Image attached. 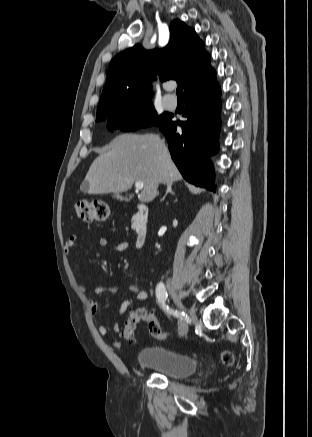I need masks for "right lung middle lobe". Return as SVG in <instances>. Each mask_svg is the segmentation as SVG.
I'll return each mask as SVG.
<instances>
[{"label": "right lung middle lobe", "mask_w": 312, "mask_h": 437, "mask_svg": "<svg viewBox=\"0 0 312 437\" xmlns=\"http://www.w3.org/2000/svg\"><path fill=\"white\" fill-rule=\"evenodd\" d=\"M171 118L170 114L163 113L157 116V113L151 102L143 104L127 105L117 109L111 114L96 118V121L107 119L108 129L113 131L120 128L123 131H131L141 126L158 125L162 126ZM144 121L142 124L137 122Z\"/></svg>", "instance_id": "obj_1"}]
</instances>
